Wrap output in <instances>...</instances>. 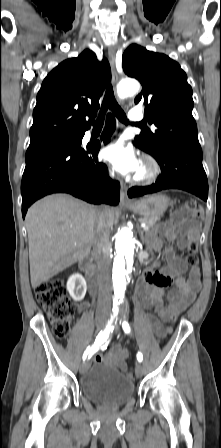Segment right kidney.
Returning a JSON list of instances; mask_svg holds the SVG:
<instances>
[{
    "instance_id": "1",
    "label": "right kidney",
    "mask_w": 221,
    "mask_h": 448,
    "mask_svg": "<svg viewBox=\"0 0 221 448\" xmlns=\"http://www.w3.org/2000/svg\"><path fill=\"white\" fill-rule=\"evenodd\" d=\"M67 290L74 301H81L87 290L84 277L79 273L70 276L67 281Z\"/></svg>"
}]
</instances>
